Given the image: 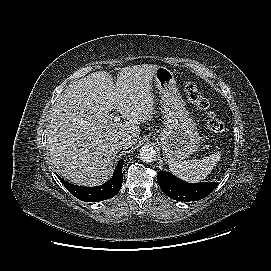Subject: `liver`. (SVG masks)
Returning a JSON list of instances; mask_svg holds the SVG:
<instances>
[{
  "label": "liver",
  "mask_w": 271,
  "mask_h": 271,
  "mask_svg": "<svg viewBox=\"0 0 271 271\" xmlns=\"http://www.w3.org/2000/svg\"><path fill=\"white\" fill-rule=\"evenodd\" d=\"M159 66L134 65L112 75L97 71L72 82L60 94L49 114L47 149L57 172L82 186L103 183L119 153L116 139L130 136L139 124L151 120L154 110L152 79ZM117 109L127 120L114 122L108 112Z\"/></svg>",
  "instance_id": "1"
}]
</instances>
